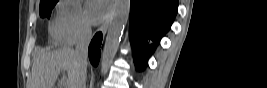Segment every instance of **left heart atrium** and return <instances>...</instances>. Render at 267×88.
<instances>
[{
    "label": "left heart atrium",
    "mask_w": 267,
    "mask_h": 88,
    "mask_svg": "<svg viewBox=\"0 0 267 88\" xmlns=\"http://www.w3.org/2000/svg\"><path fill=\"white\" fill-rule=\"evenodd\" d=\"M109 9L107 1L92 0L87 2L85 11L89 22L98 25L106 19Z\"/></svg>",
    "instance_id": "1"
}]
</instances>
